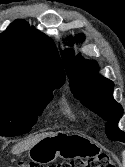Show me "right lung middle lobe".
Returning a JSON list of instances; mask_svg holds the SVG:
<instances>
[{"label":"right lung middle lobe","mask_w":125,"mask_h":167,"mask_svg":"<svg viewBox=\"0 0 125 167\" xmlns=\"http://www.w3.org/2000/svg\"><path fill=\"white\" fill-rule=\"evenodd\" d=\"M56 86L30 96H16L0 92V135L16 136L28 133L37 116L52 100Z\"/></svg>","instance_id":"right-lung-middle-lobe-1"}]
</instances>
